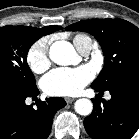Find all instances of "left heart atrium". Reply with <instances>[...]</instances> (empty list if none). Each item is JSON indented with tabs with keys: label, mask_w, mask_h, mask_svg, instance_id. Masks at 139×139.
Returning <instances> with one entry per match:
<instances>
[{
	"label": "left heart atrium",
	"mask_w": 139,
	"mask_h": 139,
	"mask_svg": "<svg viewBox=\"0 0 139 139\" xmlns=\"http://www.w3.org/2000/svg\"><path fill=\"white\" fill-rule=\"evenodd\" d=\"M93 72L88 66L57 68L42 79V88L48 95L72 96L78 94L91 80Z\"/></svg>",
	"instance_id": "39dd6f15"
}]
</instances>
